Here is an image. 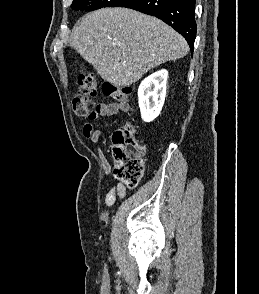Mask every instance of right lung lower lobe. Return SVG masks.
<instances>
[{"instance_id": "right-lung-lower-lobe-1", "label": "right lung lower lobe", "mask_w": 259, "mask_h": 294, "mask_svg": "<svg viewBox=\"0 0 259 294\" xmlns=\"http://www.w3.org/2000/svg\"><path fill=\"white\" fill-rule=\"evenodd\" d=\"M127 7L163 20L188 42L193 52L196 38L195 0H128Z\"/></svg>"}]
</instances>
